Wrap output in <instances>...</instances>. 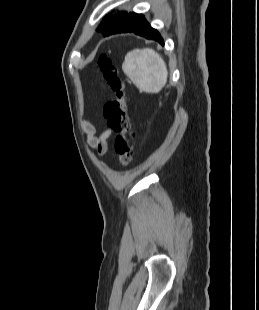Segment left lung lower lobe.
Wrapping results in <instances>:
<instances>
[{
    "instance_id": "left-lung-lower-lobe-1",
    "label": "left lung lower lobe",
    "mask_w": 259,
    "mask_h": 310,
    "mask_svg": "<svg viewBox=\"0 0 259 310\" xmlns=\"http://www.w3.org/2000/svg\"><path fill=\"white\" fill-rule=\"evenodd\" d=\"M127 32L156 40L162 45L164 44L158 31L150 26L142 14L134 12L127 14L109 35Z\"/></svg>"
}]
</instances>
